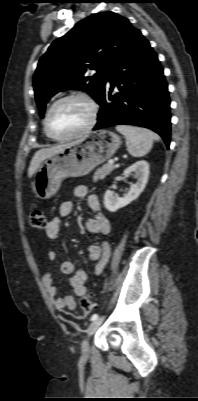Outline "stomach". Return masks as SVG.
<instances>
[{
  "label": "stomach",
  "mask_w": 198,
  "mask_h": 401,
  "mask_svg": "<svg viewBox=\"0 0 198 401\" xmlns=\"http://www.w3.org/2000/svg\"><path fill=\"white\" fill-rule=\"evenodd\" d=\"M121 145V138L110 130H99L68 143L39 167L34 191L39 199L53 196L68 177L87 175L97 165L110 159Z\"/></svg>",
  "instance_id": "1"
}]
</instances>
